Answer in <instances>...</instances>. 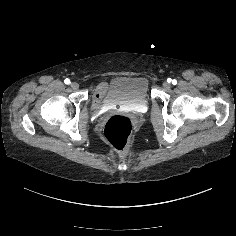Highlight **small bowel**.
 I'll return each mask as SVG.
<instances>
[{
	"label": "small bowel",
	"mask_w": 236,
	"mask_h": 236,
	"mask_svg": "<svg viewBox=\"0 0 236 236\" xmlns=\"http://www.w3.org/2000/svg\"><path fill=\"white\" fill-rule=\"evenodd\" d=\"M103 88H104V85H103V84H101V85H99V86L97 87V89H100L101 91L103 90Z\"/></svg>",
	"instance_id": "1"
}]
</instances>
